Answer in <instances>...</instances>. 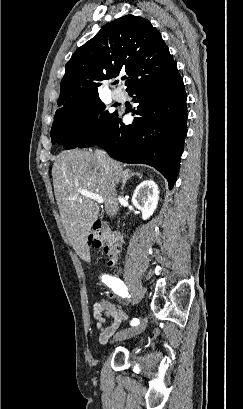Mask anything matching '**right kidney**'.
Instances as JSON below:
<instances>
[{"label": "right kidney", "mask_w": 243, "mask_h": 409, "mask_svg": "<svg viewBox=\"0 0 243 409\" xmlns=\"http://www.w3.org/2000/svg\"><path fill=\"white\" fill-rule=\"evenodd\" d=\"M159 199L157 184L152 180L140 183L132 196L133 205L142 212V219L147 220L154 213Z\"/></svg>", "instance_id": "ca27d5eb"}]
</instances>
